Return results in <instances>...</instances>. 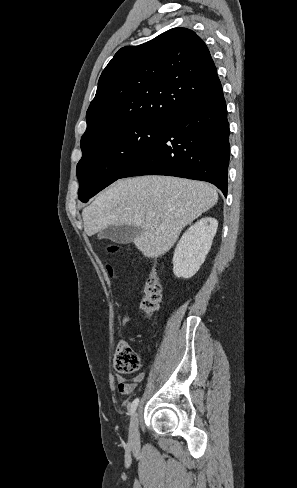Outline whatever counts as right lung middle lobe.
Instances as JSON below:
<instances>
[{
  "label": "right lung middle lobe",
  "mask_w": 297,
  "mask_h": 488,
  "mask_svg": "<svg viewBox=\"0 0 297 488\" xmlns=\"http://www.w3.org/2000/svg\"><path fill=\"white\" fill-rule=\"evenodd\" d=\"M167 120H147L110 132L91 143L77 164L78 197L86 203L121 178L156 142Z\"/></svg>",
  "instance_id": "obj_1"
}]
</instances>
